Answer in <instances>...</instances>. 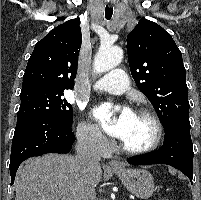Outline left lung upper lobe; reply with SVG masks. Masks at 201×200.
Returning <instances> with one entry per match:
<instances>
[{
	"label": "left lung upper lobe",
	"mask_w": 201,
	"mask_h": 200,
	"mask_svg": "<svg viewBox=\"0 0 201 200\" xmlns=\"http://www.w3.org/2000/svg\"><path fill=\"white\" fill-rule=\"evenodd\" d=\"M127 53L132 77L164 129L176 122H189L186 71L171 35L142 18L127 36Z\"/></svg>",
	"instance_id": "5c2ea615"
}]
</instances>
